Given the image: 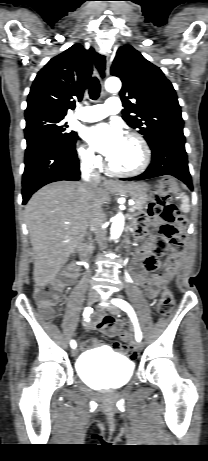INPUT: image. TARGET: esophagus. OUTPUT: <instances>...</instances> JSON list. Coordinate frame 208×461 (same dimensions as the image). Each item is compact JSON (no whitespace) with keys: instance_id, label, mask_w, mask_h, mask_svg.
Listing matches in <instances>:
<instances>
[{"instance_id":"esophagus-1","label":"esophagus","mask_w":208,"mask_h":461,"mask_svg":"<svg viewBox=\"0 0 208 461\" xmlns=\"http://www.w3.org/2000/svg\"><path fill=\"white\" fill-rule=\"evenodd\" d=\"M95 67L100 71V76H101V81L104 82L105 78L108 74L109 70V56L105 55V57H102L101 55L97 59V56L95 58ZM103 185L106 188H112L117 186V183L114 180L111 179H104L103 180Z\"/></svg>"}]
</instances>
